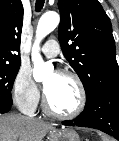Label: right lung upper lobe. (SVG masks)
Segmentation results:
<instances>
[{"label":"right lung upper lobe","mask_w":119,"mask_h":141,"mask_svg":"<svg viewBox=\"0 0 119 141\" xmlns=\"http://www.w3.org/2000/svg\"><path fill=\"white\" fill-rule=\"evenodd\" d=\"M22 24L21 0H0V64H21Z\"/></svg>","instance_id":"right-lung-upper-lobe-1"}]
</instances>
